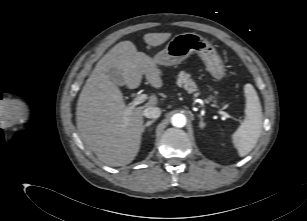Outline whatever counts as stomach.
Instances as JSON below:
<instances>
[{"label": "stomach", "instance_id": "stomach-1", "mask_svg": "<svg viewBox=\"0 0 307 221\" xmlns=\"http://www.w3.org/2000/svg\"><path fill=\"white\" fill-rule=\"evenodd\" d=\"M197 53L203 60L206 70L217 80L225 76V67L212 44L196 33L175 35L165 49L157 53L153 60L158 65L173 66L181 63L191 54Z\"/></svg>", "mask_w": 307, "mask_h": 221}]
</instances>
